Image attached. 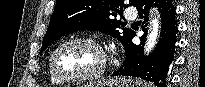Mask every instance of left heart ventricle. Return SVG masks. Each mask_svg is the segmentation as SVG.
Masks as SVG:
<instances>
[{
    "label": "left heart ventricle",
    "mask_w": 205,
    "mask_h": 87,
    "mask_svg": "<svg viewBox=\"0 0 205 87\" xmlns=\"http://www.w3.org/2000/svg\"><path fill=\"white\" fill-rule=\"evenodd\" d=\"M101 54L86 43H72L63 47L56 58L57 68L66 75H84L96 71L101 64Z\"/></svg>",
    "instance_id": "obj_1"
}]
</instances>
